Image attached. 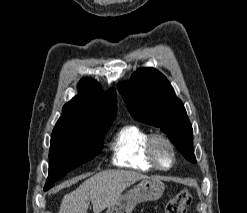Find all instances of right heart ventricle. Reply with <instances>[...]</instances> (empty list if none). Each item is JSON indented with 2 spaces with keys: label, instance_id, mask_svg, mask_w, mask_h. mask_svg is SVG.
<instances>
[{
  "label": "right heart ventricle",
  "instance_id": "right-heart-ventricle-1",
  "mask_svg": "<svg viewBox=\"0 0 247 213\" xmlns=\"http://www.w3.org/2000/svg\"><path fill=\"white\" fill-rule=\"evenodd\" d=\"M150 136L149 132L136 124H127L119 128L110 144L113 163L137 171L156 170L146 153Z\"/></svg>",
  "mask_w": 247,
  "mask_h": 213
}]
</instances>
